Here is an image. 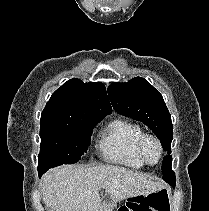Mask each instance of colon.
<instances>
[{
	"label": "colon",
	"mask_w": 209,
	"mask_h": 211,
	"mask_svg": "<svg viewBox=\"0 0 209 211\" xmlns=\"http://www.w3.org/2000/svg\"><path fill=\"white\" fill-rule=\"evenodd\" d=\"M169 201L166 191L131 197L118 211H168Z\"/></svg>",
	"instance_id": "obj_1"
}]
</instances>
